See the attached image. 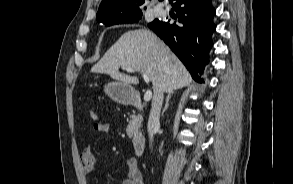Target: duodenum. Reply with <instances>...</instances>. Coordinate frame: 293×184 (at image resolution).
<instances>
[{
	"instance_id": "1",
	"label": "duodenum",
	"mask_w": 293,
	"mask_h": 184,
	"mask_svg": "<svg viewBox=\"0 0 293 184\" xmlns=\"http://www.w3.org/2000/svg\"><path fill=\"white\" fill-rule=\"evenodd\" d=\"M130 102L132 105H134L135 107L139 109H142L143 107V102L141 100V97L137 94L133 95L130 98ZM145 144H146V138L143 134L134 135V137L132 138V146H133L134 153L137 156L142 155L145 149Z\"/></svg>"
}]
</instances>
